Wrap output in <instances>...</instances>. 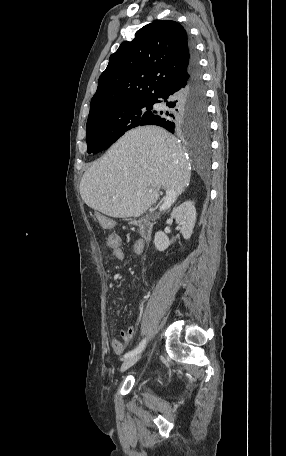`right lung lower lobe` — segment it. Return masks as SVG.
I'll use <instances>...</instances> for the list:
<instances>
[{
    "label": "right lung lower lobe",
    "mask_w": 286,
    "mask_h": 456,
    "mask_svg": "<svg viewBox=\"0 0 286 456\" xmlns=\"http://www.w3.org/2000/svg\"><path fill=\"white\" fill-rule=\"evenodd\" d=\"M154 103H163L168 111H155L154 116L146 125H158L174 133L196 131L204 135L207 133L195 130V126L208 124L205 88L201 70L192 48V58L185 77L161 93Z\"/></svg>",
    "instance_id": "obj_1"
}]
</instances>
